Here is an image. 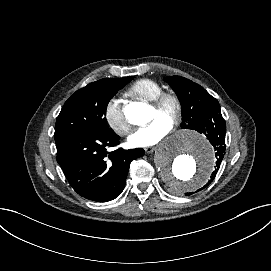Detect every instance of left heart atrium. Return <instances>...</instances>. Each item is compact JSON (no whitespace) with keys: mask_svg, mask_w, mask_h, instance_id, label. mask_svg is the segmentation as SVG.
I'll use <instances>...</instances> for the list:
<instances>
[{"mask_svg":"<svg viewBox=\"0 0 271 271\" xmlns=\"http://www.w3.org/2000/svg\"><path fill=\"white\" fill-rule=\"evenodd\" d=\"M171 132V125L161 119H156L146 126L134 129L128 136V142L133 147L146 148L158 144Z\"/></svg>","mask_w":271,"mask_h":271,"instance_id":"39dd6f15","label":"left heart atrium"}]
</instances>
